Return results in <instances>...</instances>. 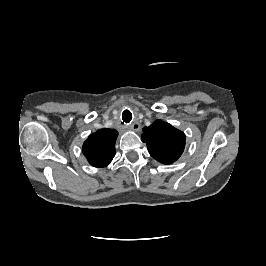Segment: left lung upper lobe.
Wrapping results in <instances>:
<instances>
[{
	"instance_id": "5c2ea615",
	"label": "left lung upper lobe",
	"mask_w": 266,
	"mask_h": 266,
	"mask_svg": "<svg viewBox=\"0 0 266 266\" xmlns=\"http://www.w3.org/2000/svg\"><path fill=\"white\" fill-rule=\"evenodd\" d=\"M141 139L150 155L163 164L178 160L185 147V134L162 120L144 127Z\"/></svg>"
}]
</instances>
